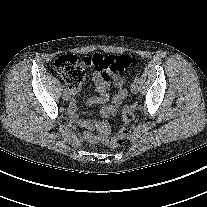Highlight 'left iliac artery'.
I'll list each match as a JSON object with an SVG mask.
<instances>
[{"mask_svg":"<svg viewBox=\"0 0 207 207\" xmlns=\"http://www.w3.org/2000/svg\"><path fill=\"white\" fill-rule=\"evenodd\" d=\"M139 80H140V78H139V77H136V78L134 79V82H135V83H138Z\"/></svg>","mask_w":207,"mask_h":207,"instance_id":"1","label":"left iliac artery"}]
</instances>
